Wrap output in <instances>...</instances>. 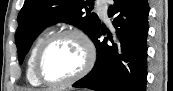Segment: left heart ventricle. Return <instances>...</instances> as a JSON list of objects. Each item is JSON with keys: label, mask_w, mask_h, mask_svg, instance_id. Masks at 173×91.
I'll return each instance as SVG.
<instances>
[{"label": "left heart ventricle", "mask_w": 173, "mask_h": 91, "mask_svg": "<svg viewBox=\"0 0 173 91\" xmlns=\"http://www.w3.org/2000/svg\"><path fill=\"white\" fill-rule=\"evenodd\" d=\"M85 62V51L81 42L70 36L52 42L46 49L41 72L48 81L58 82L76 74Z\"/></svg>", "instance_id": "1"}]
</instances>
